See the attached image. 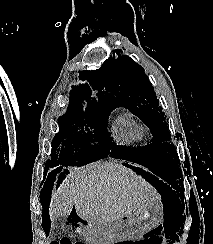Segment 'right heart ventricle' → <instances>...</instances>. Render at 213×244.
<instances>
[{"mask_svg":"<svg viewBox=\"0 0 213 244\" xmlns=\"http://www.w3.org/2000/svg\"><path fill=\"white\" fill-rule=\"evenodd\" d=\"M108 131L112 141L122 146L142 144L147 137L143 123L128 109H121L116 113Z\"/></svg>","mask_w":213,"mask_h":244,"instance_id":"right-heart-ventricle-1","label":"right heart ventricle"}]
</instances>
